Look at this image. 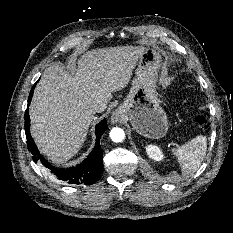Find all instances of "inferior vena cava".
<instances>
[{
	"instance_id": "1",
	"label": "inferior vena cava",
	"mask_w": 233,
	"mask_h": 233,
	"mask_svg": "<svg viewBox=\"0 0 233 233\" xmlns=\"http://www.w3.org/2000/svg\"><path fill=\"white\" fill-rule=\"evenodd\" d=\"M93 113L97 114L98 113V108H93Z\"/></svg>"
}]
</instances>
